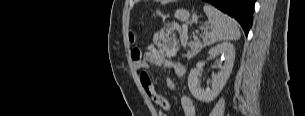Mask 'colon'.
Returning a JSON list of instances; mask_svg holds the SVG:
<instances>
[{
  "label": "colon",
  "mask_w": 305,
  "mask_h": 116,
  "mask_svg": "<svg viewBox=\"0 0 305 116\" xmlns=\"http://www.w3.org/2000/svg\"><path fill=\"white\" fill-rule=\"evenodd\" d=\"M129 41L131 42V43H135V41H136V34L133 32V31H130L129 32ZM141 77L142 78H148V74H147V72H142L141 73Z\"/></svg>",
  "instance_id": "obj_1"
}]
</instances>
